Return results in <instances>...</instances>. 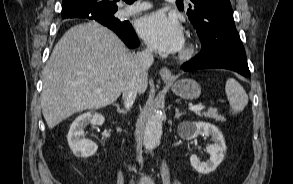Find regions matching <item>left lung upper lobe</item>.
<instances>
[{"label": "left lung upper lobe", "mask_w": 293, "mask_h": 184, "mask_svg": "<svg viewBox=\"0 0 293 184\" xmlns=\"http://www.w3.org/2000/svg\"><path fill=\"white\" fill-rule=\"evenodd\" d=\"M187 14L197 29L203 44L211 45L219 35L230 33L235 28L230 0H190ZM179 10H184L183 0L176 1Z\"/></svg>", "instance_id": "1"}]
</instances>
